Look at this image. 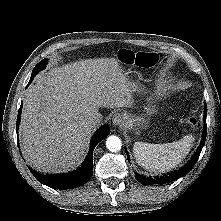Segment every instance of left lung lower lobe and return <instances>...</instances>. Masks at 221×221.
Listing matches in <instances>:
<instances>
[{"instance_id": "1", "label": "left lung lower lobe", "mask_w": 221, "mask_h": 221, "mask_svg": "<svg viewBox=\"0 0 221 221\" xmlns=\"http://www.w3.org/2000/svg\"><path fill=\"white\" fill-rule=\"evenodd\" d=\"M206 116H207V105L205 104V111H204V122H205V127H204V132H203V136H202V141L200 143V146L198 148V150L196 151V153L193 155V157L191 158V160L188 162L187 165H185L184 167L180 168L177 171L171 172L168 175L165 176H161V177H155L154 179L152 178H147L143 175H140L138 173L135 172L136 178L139 182H141L142 184L145 185H150V184H164V183H169L171 181H174L178 178H180L181 176L187 174L195 165V163L197 162L199 155L201 153V150L205 144V140H206V134H207V127H206ZM127 154V152H126ZM127 158L129 160V156L127 154Z\"/></svg>"}]
</instances>
